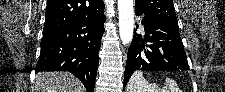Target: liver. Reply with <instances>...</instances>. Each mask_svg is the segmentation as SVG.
Returning <instances> with one entry per match:
<instances>
[{
  "instance_id": "liver-1",
  "label": "liver",
  "mask_w": 225,
  "mask_h": 92,
  "mask_svg": "<svg viewBox=\"0 0 225 92\" xmlns=\"http://www.w3.org/2000/svg\"><path fill=\"white\" fill-rule=\"evenodd\" d=\"M33 92H85L81 82L67 72H41L35 77Z\"/></svg>"
}]
</instances>
